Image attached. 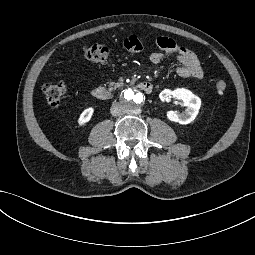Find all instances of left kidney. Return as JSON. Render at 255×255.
Wrapping results in <instances>:
<instances>
[{"label":"left kidney","mask_w":255,"mask_h":255,"mask_svg":"<svg viewBox=\"0 0 255 255\" xmlns=\"http://www.w3.org/2000/svg\"><path fill=\"white\" fill-rule=\"evenodd\" d=\"M170 97L181 101L182 104L186 106V109L182 113L177 111H168L167 118L170 121L178 122L180 124L191 123L199 112L201 106L200 98L185 88H177L175 90L164 89L159 94V98L163 102L170 100Z\"/></svg>","instance_id":"obj_1"}]
</instances>
